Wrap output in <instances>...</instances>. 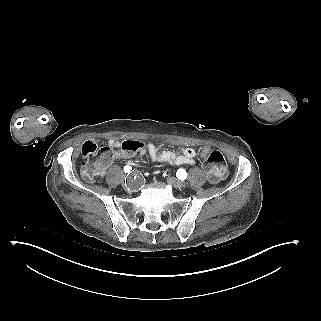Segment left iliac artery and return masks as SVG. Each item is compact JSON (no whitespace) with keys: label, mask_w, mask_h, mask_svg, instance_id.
Here are the masks:
<instances>
[{"label":"left iliac artery","mask_w":321,"mask_h":321,"mask_svg":"<svg viewBox=\"0 0 321 321\" xmlns=\"http://www.w3.org/2000/svg\"><path fill=\"white\" fill-rule=\"evenodd\" d=\"M177 177L181 180H184L187 177V172L185 169H179L177 171Z\"/></svg>","instance_id":"obj_1"}]
</instances>
